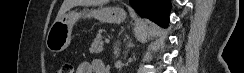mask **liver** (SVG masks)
I'll return each instance as SVG.
<instances>
[{
  "instance_id": "liver-1",
  "label": "liver",
  "mask_w": 244,
  "mask_h": 73,
  "mask_svg": "<svg viewBox=\"0 0 244 73\" xmlns=\"http://www.w3.org/2000/svg\"><path fill=\"white\" fill-rule=\"evenodd\" d=\"M105 3L104 0H64L63 4L58 12V15L56 17V20L60 19L68 10L71 8L78 6V5H84V6H96L101 5Z\"/></svg>"
}]
</instances>
